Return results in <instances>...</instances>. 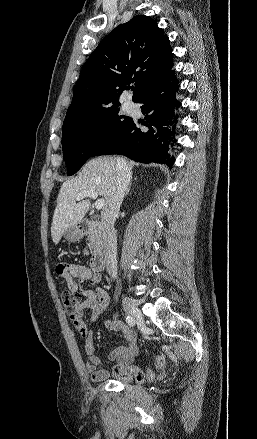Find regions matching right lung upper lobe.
Wrapping results in <instances>:
<instances>
[{
    "label": "right lung upper lobe",
    "mask_w": 257,
    "mask_h": 439,
    "mask_svg": "<svg viewBox=\"0 0 257 439\" xmlns=\"http://www.w3.org/2000/svg\"><path fill=\"white\" fill-rule=\"evenodd\" d=\"M164 30L149 16L117 26L91 53L75 85L64 121L120 104L125 86L135 81L133 101L171 71L173 53Z\"/></svg>",
    "instance_id": "1"
}]
</instances>
